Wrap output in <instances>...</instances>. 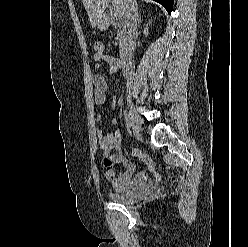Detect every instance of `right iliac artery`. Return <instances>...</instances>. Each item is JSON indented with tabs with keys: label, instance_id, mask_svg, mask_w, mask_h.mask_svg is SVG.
Listing matches in <instances>:
<instances>
[{
	"label": "right iliac artery",
	"instance_id": "1",
	"mask_svg": "<svg viewBox=\"0 0 248 247\" xmlns=\"http://www.w3.org/2000/svg\"><path fill=\"white\" fill-rule=\"evenodd\" d=\"M124 119L126 123V127L129 133H131V119H130V114L124 110Z\"/></svg>",
	"mask_w": 248,
	"mask_h": 247
}]
</instances>
